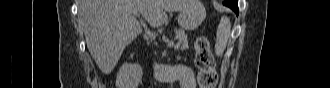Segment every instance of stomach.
<instances>
[{"label": "stomach", "mask_w": 330, "mask_h": 88, "mask_svg": "<svg viewBox=\"0 0 330 88\" xmlns=\"http://www.w3.org/2000/svg\"><path fill=\"white\" fill-rule=\"evenodd\" d=\"M206 18V10L199 0H191L186 9L180 11L178 15L179 25L187 30L197 29Z\"/></svg>", "instance_id": "stomach-1"}]
</instances>
